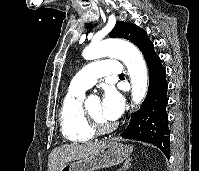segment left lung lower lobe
<instances>
[{
  "label": "left lung lower lobe",
  "instance_id": "left-lung-lower-lobe-1",
  "mask_svg": "<svg viewBox=\"0 0 199 171\" xmlns=\"http://www.w3.org/2000/svg\"><path fill=\"white\" fill-rule=\"evenodd\" d=\"M148 69L149 88L141 108L131 114V120L121 136L157 146L167 158L170 157V131L168 128V103L165 68L150 41L142 49Z\"/></svg>",
  "mask_w": 199,
  "mask_h": 171
}]
</instances>
